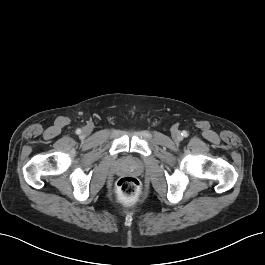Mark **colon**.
<instances>
[{
    "label": "colon",
    "mask_w": 265,
    "mask_h": 265,
    "mask_svg": "<svg viewBox=\"0 0 265 265\" xmlns=\"http://www.w3.org/2000/svg\"><path fill=\"white\" fill-rule=\"evenodd\" d=\"M117 190L123 198L134 200L139 196L140 183L134 177H122L117 182Z\"/></svg>",
    "instance_id": "colon-1"
}]
</instances>
